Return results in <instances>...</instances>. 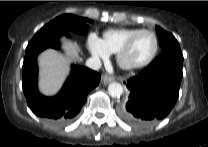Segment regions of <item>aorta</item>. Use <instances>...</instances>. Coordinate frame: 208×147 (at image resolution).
Instances as JSON below:
<instances>
[{
	"instance_id": "762f6f07",
	"label": "aorta",
	"mask_w": 208,
	"mask_h": 147,
	"mask_svg": "<svg viewBox=\"0 0 208 147\" xmlns=\"http://www.w3.org/2000/svg\"><path fill=\"white\" fill-rule=\"evenodd\" d=\"M108 93L111 97H120L123 94V87L118 82H113L108 86Z\"/></svg>"
}]
</instances>
